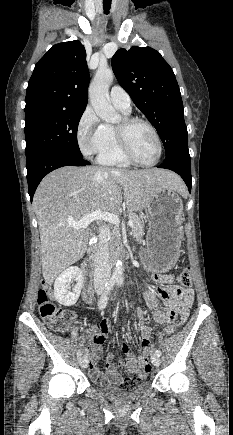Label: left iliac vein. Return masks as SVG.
<instances>
[{"label": "left iliac vein", "instance_id": "left-iliac-vein-1", "mask_svg": "<svg viewBox=\"0 0 233 435\" xmlns=\"http://www.w3.org/2000/svg\"><path fill=\"white\" fill-rule=\"evenodd\" d=\"M151 362L153 363V365H155V366H159V365H160V362H161V360H160V356L157 355V354L152 355V356H151Z\"/></svg>", "mask_w": 233, "mask_h": 435}]
</instances>
